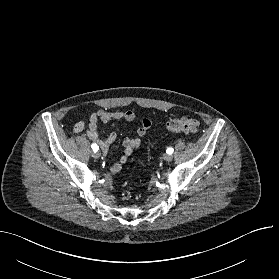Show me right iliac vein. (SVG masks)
<instances>
[{
  "instance_id": "1",
  "label": "right iliac vein",
  "mask_w": 279,
  "mask_h": 279,
  "mask_svg": "<svg viewBox=\"0 0 279 279\" xmlns=\"http://www.w3.org/2000/svg\"><path fill=\"white\" fill-rule=\"evenodd\" d=\"M92 157H94V158H96V159L99 158V157H100V152H97V151H96V152H93V153H92Z\"/></svg>"
}]
</instances>
